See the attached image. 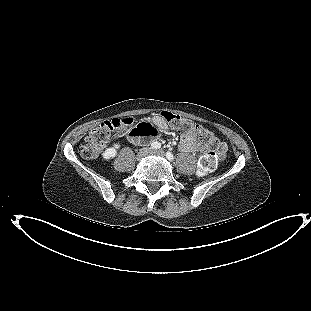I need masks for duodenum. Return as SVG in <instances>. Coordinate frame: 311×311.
<instances>
[{
	"instance_id": "obj_1",
	"label": "duodenum",
	"mask_w": 311,
	"mask_h": 311,
	"mask_svg": "<svg viewBox=\"0 0 311 311\" xmlns=\"http://www.w3.org/2000/svg\"><path fill=\"white\" fill-rule=\"evenodd\" d=\"M130 140L133 141V142H139L141 139L139 136L137 135H133L130 137Z\"/></svg>"
}]
</instances>
